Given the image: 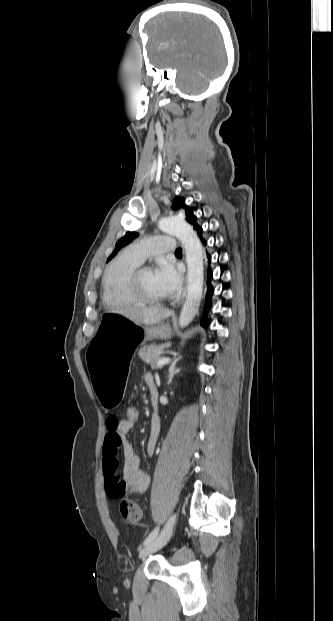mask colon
Segmentation results:
<instances>
[{"mask_svg":"<svg viewBox=\"0 0 333 621\" xmlns=\"http://www.w3.org/2000/svg\"><path fill=\"white\" fill-rule=\"evenodd\" d=\"M124 413V419L128 423L135 425L138 422L140 413L136 406L127 405L124 409ZM119 508L121 516L129 522H138L142 517L141 509L134 501L123 500Z\"/></svg>","mask_w":333,"mask_h":621,"instance_id":"5ec220e1","label":"colon"}]
</instances>
